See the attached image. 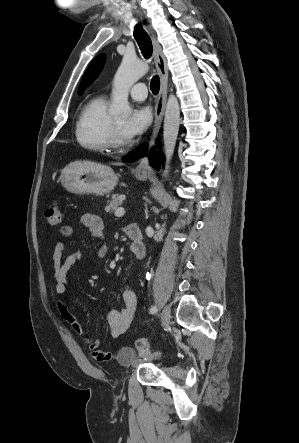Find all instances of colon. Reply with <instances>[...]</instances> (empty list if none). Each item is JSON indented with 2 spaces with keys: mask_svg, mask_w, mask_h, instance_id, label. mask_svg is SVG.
<instances>
[{
  "mask_svg": "<svg viewBox=\"0 0 299 443\" xmlns=\"http://www.w3.org/2000/svg\"><path fill=\"white\" fill-rule=\"evenodd\" d=\"M45 217L47 225L50 227H56L61 222V210L58 204V201H53L49 207L45 211ZM136 349L146 357L149 361L153 363L161 362V358L159 354L153 352L148 344V342L144 339H137L135 341ZM130 355L128 350H124L121 354L122 359H126Z\"/></svg>",
  "mask_w": 299,
  "mask_h": 443,
  "instance_id": "colon-1",
  "label": "colon"
}]
</instances>
